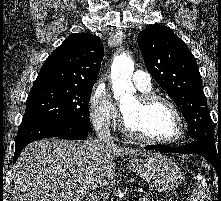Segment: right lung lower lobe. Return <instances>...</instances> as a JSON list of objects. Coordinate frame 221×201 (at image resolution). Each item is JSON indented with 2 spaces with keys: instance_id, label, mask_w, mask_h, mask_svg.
Here are the masks:
<instances>
[{
  "instance_id": "1",
  "label": "right lung lower lobe",
  "mask_w": 221,
  "mask_h": 201,
  "mask_svg": "<svg viewBox=\"0 0 221 201\" xmlns=\"http://www.w3.org/2000/svg\"><path fill=\"white\" fill-rule=\"evenodd\" d=\"M90 131L91 129L62 121L37 120L21 123L15 141L13 163L16 162L23 148L33 141L48 137L81 140L86 138Z\"/></svg>"
}]
</instances>
